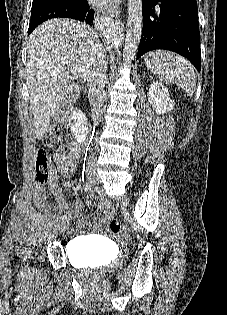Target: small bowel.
Here are the masks:
<instances>
[{"mask_svg": "<svg viewBox=\"0 0 227 315\" xmlns=\"http://www.w3.org/2000/svg\"><path fill=\"white\" fill-rule=\"evenodd\" d=\"M81 159V150L78 146L74 145L69 152L65 154H55L54 161L56 164L57 173H55L49 182V187L56 199L64 203V197L59 187V180L61 177L69 176L71 168L76 166ZM34 199L37 205L45 210L51 209L52 204L48 201L44 192L43 186L35 183L32 188ZM98 208L103 212L105 219H109L112 215V206L108 202H100ZM67 212L70 214H80L83 212V206L80 202L67 205Z\"/></svg>", "mask_w": 227, "mask_h": 315, "instance_id": "c3829d8e", "label": "small bowel"}]
</instances>
